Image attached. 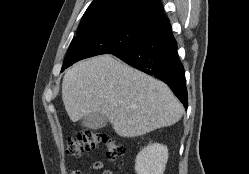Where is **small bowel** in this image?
<instances>
[{"instance_id": "1", "label": "small bowel", "mask_w": 249, "mask_h": 174, "mask_svg": "<svg viewBox=\"0 0 249 174\" xmlns=\"http://www.w3.org/2000/svg\"><path fill=\"white\" fill-rule=\"evenodd\" d=\"M104 164L102 161H94L91 163L85 170L83 169H74L71 174H84L85 171H100L102 170L101 174H113L110 170H103Z\"/></svg>"}]
</instances>
